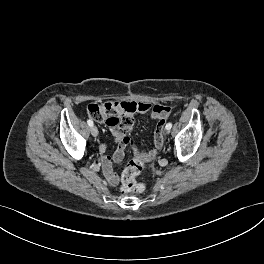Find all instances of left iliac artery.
Masks as SVG:
<instances>
[{"label": "left iliac artery", "mask_w": 264, "mask_h": 264, "mask_svg": "<svg viewBox=\"0 0 264 264\" xmlns=\"http://www.w3.org/2000/svg\"><path fill=\"white\" fill-rule=\"evenodd\" d=\"M172 128V123H167V125H166V129H171Z\"/></svg>", "instance_id": "left-iliac-artery-1"}]
</instances>
